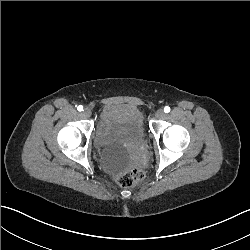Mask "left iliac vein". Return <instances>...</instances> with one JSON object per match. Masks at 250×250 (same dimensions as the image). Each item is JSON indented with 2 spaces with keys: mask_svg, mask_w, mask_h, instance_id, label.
<instances>
[{
  "mask_svg": "<svg viewBox=\"0 0 250 250\" xmlns=\"http://www.w3.org/2000/svg\"><path fill=\"white\" fill-rule=\"evenodd\" d=\"M155 117L157 119H163L165 117V113L162 109H158L155 113Z\"/></svg>",
  "mask_w": 250,
  "mask_h": 250,
  "instance_id": "4c4485c4",
  "label": "left iliac vein"
}]
</instances>
